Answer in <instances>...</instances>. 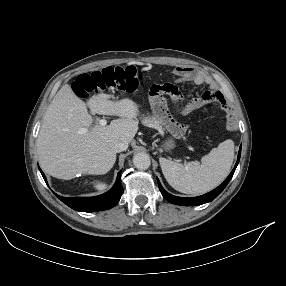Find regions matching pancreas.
Returning <instances> with one entry per match:
<instances>
[{"instance_id": "obj_1", "label": "pancreas", "mask_w": 286, "mask_h": 286, "mask_svg": "<svg viewBox=\"0 0 286 286\" xmlns=\"http://www.w3.org/2000/svg\"><path fill=\"white\" fill-rule=\"evenodd\" d=\"M143 125L147 127H153L155 129H161V122L154 117H146L142 120Z\"/></svg>"}]
</instances>
